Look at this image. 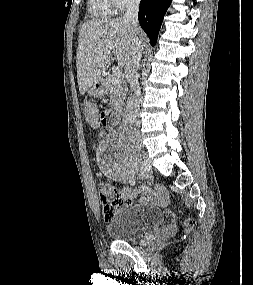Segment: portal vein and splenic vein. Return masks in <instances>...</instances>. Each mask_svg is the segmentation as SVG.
Wrapping results in <instances>:
<instances>
[{"label":"portal vein and splenic vein","instance_id":"obj_1","mask_svg":"<svg viewBox=\"0 0 253 285\" xmlns=\"http://www.w3.org/2000/svg\"><path fill=\"white\" fill-rule=\"evenodd\" d=\"M108 47L110 50L115 49V46L111 43L108 44ZM121 75V70L118 67H114L110 76V80L114 83H118L121 80Z\"/></svg>","mask_w":253,"mask_h":285}]
</instances>
